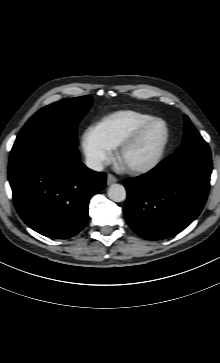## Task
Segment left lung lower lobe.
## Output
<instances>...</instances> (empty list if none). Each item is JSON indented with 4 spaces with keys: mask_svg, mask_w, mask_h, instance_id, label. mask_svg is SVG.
<instances>
[{
    "mask_svg": "<svg viewBox=\"0 0 220 363\" xmlns=\"http://www.w3.org/2000/svg\"><path fill=\"white\" fill-rule=\"evenodd\" d=\"M211 172L210 149L193 147L176 151L143 176L125 180L128 225L147 240L178 234L201 212Z\"/></svg>",
    "mask_w": 220,
    "mask_h": 363,
    "instance_id": "left-lung-lower-lobe-1",
    "label": "left lung lower lobe"
}]
</instances>
